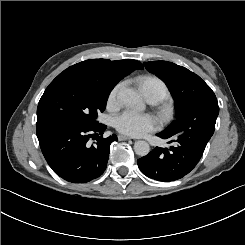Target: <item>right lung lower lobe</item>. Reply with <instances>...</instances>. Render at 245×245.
I'll return each instance as SVG.
<instances>
[{"mask_svg":"<svg viewBox=\"0 0 245 245\" xmlns=\"http://www.w3.org/2000/svg\"><path fill=\"white\" fill-rule=\"evenodd\" d=\"M106 128L101 123L48 124L37 127L36 133L47 163L59 177L71 183H87L103 174L110 145L118 140L115 134L103 138ZM98 134L101 136L90 146L89 139Z\"/></svg>","mask_w":245,"mask_h":245,"instance_id":"1","label":"right lung lower lobe"}]
</instances>
